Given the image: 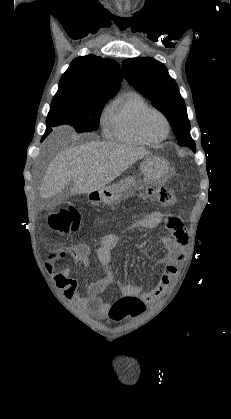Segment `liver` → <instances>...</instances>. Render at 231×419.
Masks as SVG:
<instances>
[{
    "label": "liver",
    "mask_w": 231,
    "mask_h": 419,
    "mask_svg": "<svg viewBox=\"0 0 231 419\" xmlns=\"http://www.w3.org/2000/svg\"><path fill=\"white\" fill-rule=\"evenodd\" d=\"M150 152L115 142L71 146L50 163L41 185L42 198L61 193L73 181L72 194H89L110 184Z\"/></svg>",
    "instance_id": "1"
}]
</instances>
